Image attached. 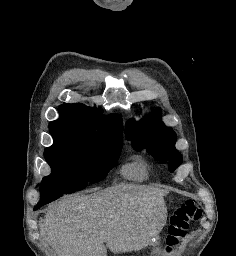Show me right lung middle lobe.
I'll return each mask as SVG.
<instances>
[{
	"mask_svg": "<svg viewBox=\"0 0 236 256\" xmlns=\"http://www.w3.org/2000/svg\"><path fill=\"white\" fill-rule=\"evenodd\" d=\"M54 144L44 151L52 174L43 179L40 202L85 188L104 179L116 164L123 142L89 138L69 132L51 133Z\"/></svg>",
	"mask_w": 236,
	"mask_h": 256,
	"instance_id": "dd1d6c3e",
	"label": "right lung middle lobe"
}]
</instances>
